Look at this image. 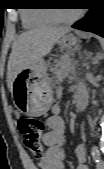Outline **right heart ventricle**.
Instances as JSON below:
<instances>
[{"instance_id": "1", "label": "right heart ventricle", "mask_w": 104, "mask_h": 169, "mask_svg": "<svg viewBox=\"0 0 104 169\" xmlns=\"http://www.w3.org/2000/svg\"><path fill=\"white\" fill-rule=\"evenodd\" d=\"M22 21L28 28L48 26L55 23L49 13L44 10L24 11L22 13Z\"/></svg>"}]
</instances>
